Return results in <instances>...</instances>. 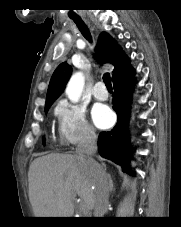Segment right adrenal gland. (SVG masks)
Wrapping results in <instances>:
<instances>
[{"mask_svg":"<svg viewBox=\"0 0 181 227\" xmlns=\"http://www.w3.org/2000/svg\"><path fill=\"white\" fill-rule=\"evenodd\" d=\"M107 179H108V181H109V183H110V188H109V190H110V192H112L113 190H114V185H113V180H112V178H111V175L108 173L107 174Z\"/></svg>","mask_w":181,"mask_h":227,"instance_id":"obj_1","label":"right adrenal gland"}]
</instances>
